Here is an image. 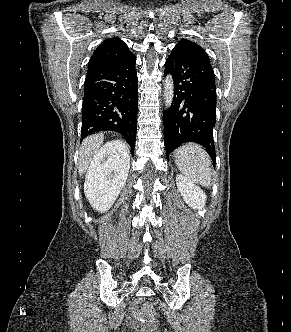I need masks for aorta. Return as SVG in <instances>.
Wrapping results in <instances>:
<instances>
[{
	"label": "aorta",
	"mask_w": 291,
	"mask_h": 332,
	"mask_svg": "<svg viewBox=\"0 0 291 332\" xmlns=\"http://www.w3.org/2000/svg\"><path fill=\"white\" fill-rule=\"evenodd\" d=\"M174 97V83L171 74H168L164 80V99L167 108L171 107Z\"/></svg>",
	"instance_id": "obj_1"
}]
</instances>
